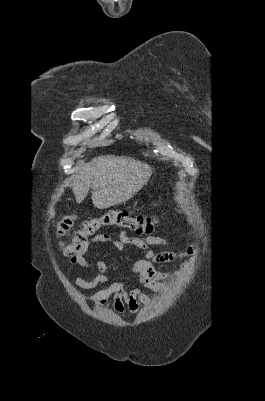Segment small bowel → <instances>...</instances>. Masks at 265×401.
I'll list each match as a JSON object with an SVG mask.
<instances>
[{
    "instance_id": "c3829d8e",
    "label": "small bowel",
    "mask_w": 265,
    "mask_h": 401,
    "mask_svg": "<svg viewBox=\"0 0 265 401\" xmlns=\"http://www.w3.org/2000/svg\"><path fill=\"white\" fill-rule=\"evenodd\" d=\"M108 244L113 247V253H124L128 249H133L143 256L130 267V271L136 275V282L152 290L162 288V280L177 277L176 273H163L155 269L154 264L171 262L194 253V248L190 247L186 251H161L155 252L152 246H169V240L159 236H148L145 238H136L129 236L126 232L120 233L118 238L109 234H97L88 240L85 248L75 255L71 256L70 263L74 266H80L93 272L94 277L91 281L84 280L76 275V284L85 290H91L101 284L107 287L98 290L92 294H83V298L96 303L98 307L105 305L110 299H113V308L116 313L122 315L127 308L132 313H137L140 304L148 305L149 298L139 289L128 290L126 282L111 281L107 276V259H100L96 263L88 260L85 255L95 245ZM185 266H188L186 264Z\"/></svg>"
}]
</instances>
